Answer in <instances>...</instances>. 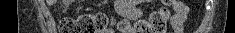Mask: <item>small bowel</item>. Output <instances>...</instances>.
<instances>
[{
    "label": "small bowel",
    "instance_id": "small-bowel-1",
    "mask_svg": "<svg viewBox=\"0 0 235 33\" xmlns=\"http://www.w3.org/2000/svg\"><path fill=\"white\" fill-rule=\"evenodd\" d=\"M145 1H138L136 4L132 5V8L136 10H140L141 6L143 5ZM173 10L174 14L170 18V24L172 26V29L174 33H183L184 32V25L187 20V14H188V7L180 2V1H173ZM129 6L127 4H122L120 7L122 10H129ZM105 33H114L113 30H108Z\"/></svg>",
    "mask_w": 235,
    "mask_h": 33
}]
</instances>
